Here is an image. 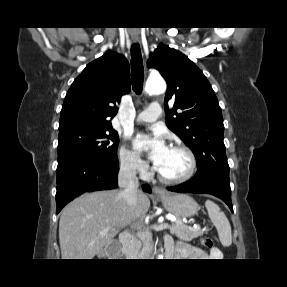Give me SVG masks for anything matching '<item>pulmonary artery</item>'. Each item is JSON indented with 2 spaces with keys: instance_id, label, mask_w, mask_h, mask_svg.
Here are the masks:
<instances>
[{
  "instance_id": "obj_1",
  "label": "pulmonary artery",
  "mask_w": 287,
  "mask_h": 287,
  "mask_svg": "<svg viewBox=\"0 0 287 287\" xmlns=\"http://www.w3.org/2000/svg\"><path fill=\"white\" fill-rule=\"evenodd\" d=\"M161 114V108L158 104H150L137 117L136 121L140 123H151L156 121Z\"/></svg>"
}]
</instances>
